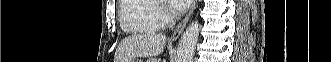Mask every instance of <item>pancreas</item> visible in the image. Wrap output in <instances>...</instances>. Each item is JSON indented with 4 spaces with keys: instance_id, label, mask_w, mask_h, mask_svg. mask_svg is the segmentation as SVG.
Returning a JSON list of instances; mask_svg holds the SVG:
<instances>
[{
    "instance_id": "obj_1",
    "label": "pancreas",
    "mask_w": 331,
    "mask_h": 62,
    "mask_svg": "<svg viewBox=\"0 0 331 62\" xmlns=\"http://www.w3.org/2000/svg\"><path fill=\"white\" fill-rule=\"evenodd\" d=\"M147 62H156V60L154 58H149V60H147Z\"/></svg>"
}]
</instances>
